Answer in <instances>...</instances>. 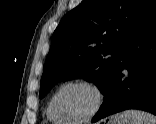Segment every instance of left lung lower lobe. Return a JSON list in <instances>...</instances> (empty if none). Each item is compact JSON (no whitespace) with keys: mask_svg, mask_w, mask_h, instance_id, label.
<instances>
[{"mask_svg":"<svg viewBox=\"0 0 156 124\" xmlns=\"http://www.w3.org/2000/svg\"><path fill=\"white\" fill-rule=\"evenodd\" d=\"M127 109L156 115V3L125 45L92 122Z\"/></svg>","mask_w":156,"mask_h":124,"instance_id":"0a47b994","label":"left lung lower lobe"}]
</instances>
